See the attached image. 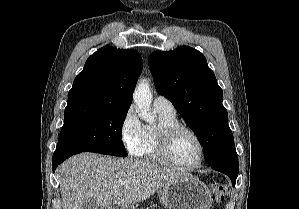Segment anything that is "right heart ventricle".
Wrapping results in <instances>:
<instances>
[{"label":"right heart ventricle","mask_w":299,"mask_h":209,"mask_svg":"<svg viewBox=\"0 0 299 209\" xmlns=\"http://www.w3.org/2000/svg\"><path fill=\"white\" fill-rule=\"evenodd\" d=\"M156 112L159 117V122L156 126H144L143 143L140 148L138 156L156 162H161L159 155L157 153L156 133L158 129L162 126L178 124L179 122L175 114H166L158 110H156Z\"/></svg>","instance_id":"1"}]
</instances>
